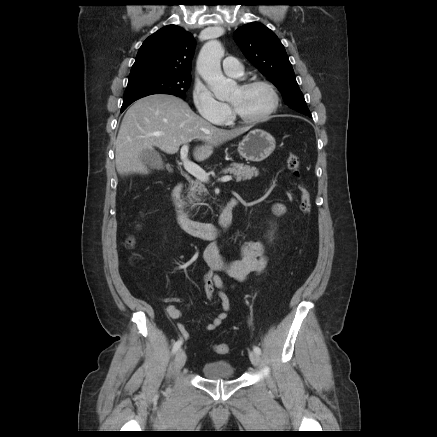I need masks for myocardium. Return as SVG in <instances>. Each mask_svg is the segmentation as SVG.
Segmentation results:
<instances>
[{
	"mask_svg": "<svg viewBox=\"0 0 437 437\" xmlns=\"http://www.w3.org/2000/svg\"><path fill=\"white\" fill-rule=\"evenodd\" d=\"M255 86L265 87L270 92L271 104H270L269 108L259 116L248 118V117H244V116L240 115L235 110L234 106L230 103L232 118L235 121H238V122L244 123V124H257V123H260V122L267 120L276 111V109L279 105V95H278L275 87L270 82H268L266 80H261V79H254V80L245 81L244 83H242L240 85V87L244 88V89L255 87Z\"/></svg>",
	"mask_w": 437,
	"mask_h": 437,
	"instance_id": "obj_1",
	"label": "myocardium"
}]
</instances>
